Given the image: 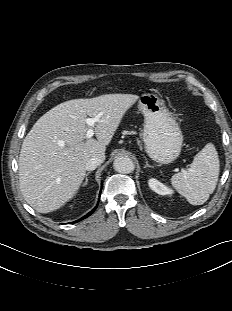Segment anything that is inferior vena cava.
I'll return each mask as SVG.
<instances>
[{"instance_id":"602c4592","label":"inferior vena cava","mask_w":232,"mask_h":311,"mask_svg":"<svg viewBox=\"0 0 232 311\" xmlns=\"http://www.w3.org/2000/svg\"><path fill=\"white\" fill-rule=\"evenodd\" d=\"M104 158L101 156H94L90 159H88L85 163V169L88 171L95 170L97 166H99L101 163H103Z\"/></svg>"}]
</instances>
